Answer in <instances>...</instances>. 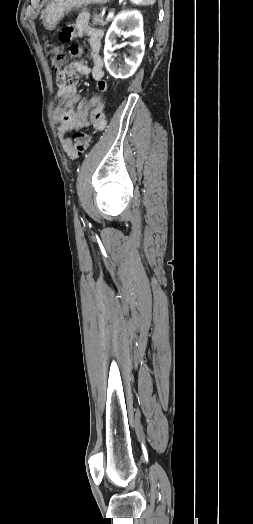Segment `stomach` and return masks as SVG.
<instances>
[{"label":"stomach","mask_w":253,"mask_h":524,"mask_svg":"<svg viewBox=\"0 0 253 524\" xmlns=\"http://www.w3.org/2000/svg\"><path fill=\"white\" fill-rule=\"evenodd\" d=\"M110 0H50L42 12V24L47 30H53L64 16L83 6L94 3H107Z\"/></svg>","instance_id":"stomach-1"}]
</instances>
